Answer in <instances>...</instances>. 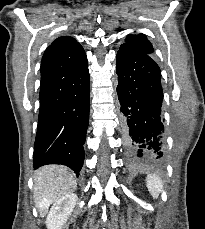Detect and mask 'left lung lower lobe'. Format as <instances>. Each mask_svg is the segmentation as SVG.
Wrapping results in <instances>:
<instances>
[{
	"label": "left lung lower lobe",
	"instance_id": "1",
	"mask_svg": "<svg viewBox=\"0 0 205 229\" xmlns=\"http://www.w3.org/2000/svg\"><path fill=\"white\" fill-rule=\"evenodd\" d=\"M116 58L124 147L133 157L161 162L165 127L160 68L150 54L128 44L121 45Z\"/></svg>",
	"mask_w": 205,
	"mask_h": 229
}]
</instances>
